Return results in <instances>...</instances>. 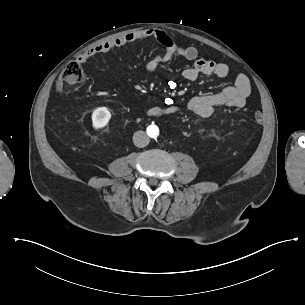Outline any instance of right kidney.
Masks as SVG:
<instances>
[{
  "label": "right kidney",
  "instance_id": "obj_1",
  "mask_svg": "<svg viewBox=\"0 0 305 305\" xmlns=\"http://www.w3.org/2000/svg\"><path fill=\"white\" fill-rule=\"evenodd\" d=\"M112 114L107 107H99L93 110L91 119H92V128L95 131L103 130L108 126Z\"/></svg>",
  "mask_w": 305,
  "mask_h": 305
}]
</instances>
